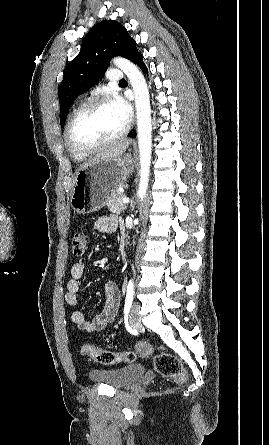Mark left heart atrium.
I'll return each instance as SVG.
<instances>
[{
	"instance_id": "left-heart-atrium-1",
	"label": "left heart atrium",
	"mask_w": 269,
	"mask_h": 445,
	"mask_svg": "<svg viewBox=\"0 0 269 445\" xmlns=\"http://www.w3.org/2000/svg\"><path fill=\"white\" fill-rule=\"evenodd\" d=\"M111 104L115 108V110L119 113L124 122L128 124L132 117V111L130 105L118 96H115L112 99Z\"/></svg>"
}]
</instances>
